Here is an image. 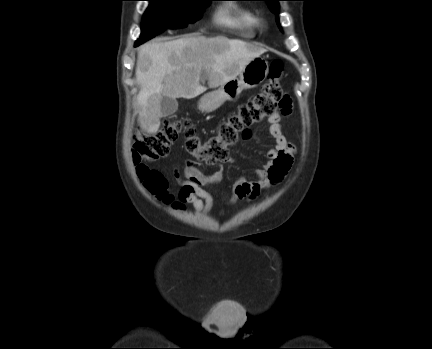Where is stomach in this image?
Wrapping results in <instances>:
<instances>
[{"mask_svg":"<svg viewBox=\"0 0 432 349\" xmlns=\"http://www.w3.org/2000/svg\"><path fill=\"white\" fill-rule=\"evenodd\" d=\"M269 73V65L265 58L255 57L239 74L218 89L204 94L199 102L198 108L202 112L210 113L219 108L225 101H236L244 89L255 88L260 85Z\"/></svg>","mask_w":432,"mask_h":349,"instance_id":"stomach-1","label":"stomach"}]
</instances>
